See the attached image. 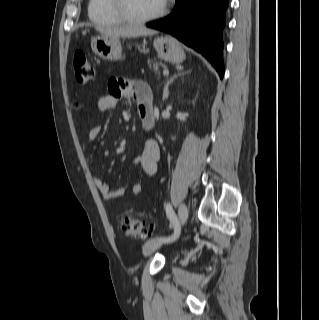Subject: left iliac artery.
I'll return each instance as SVG.
<instances>
[{
	"label": "left iliac artery",
	"instance_id": "left-iliac-artery-1",
	"mask_svg": "<svg viewBox=\"0 0 319 320\" xmlns=\"http://www.w3.org/2000/svg\"><path fill=\"white\" fill-rule=\"evenodd\" d=\"M165 210H166V214L167 217L169 218L170 222L172 223V225L174 226V233L171 236L168 237H160L157 238L159 241L164 242V243H171L173 241H175V237H179L180 235V226H179V222L177 219V216L175 214V212L172 209V206L170 203H167L165 205Z\"/></svg>",
	"mask_w": 319,
	"mask_h": 320
}]
</instances>
